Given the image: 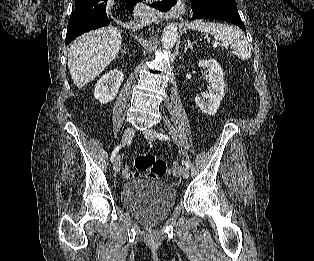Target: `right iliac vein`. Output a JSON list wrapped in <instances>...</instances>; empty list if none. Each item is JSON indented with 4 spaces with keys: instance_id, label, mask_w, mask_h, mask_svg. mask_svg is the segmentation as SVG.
<instances>
[{
    "instance_id": "obj_1",
    "label": "right iliac vein",
    "mask_w": 314,
    "mask_h": 261,
    "mask_svg": "<svg viewBox=\"0 0 314 261\" xmlns=\"http://www.w3.org/2000/svg\"><path fill=\"white\" fill-rule=\"evenodd\" d=\"M134 135V129L132 127L127 128L124 131L123 137H122V143H126L129 141ZM121 168V161H120V156H116L113 164V169L116 173L120 171Z\"/></svg>"
}]
</instances>
